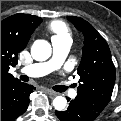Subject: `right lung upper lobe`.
<instances>
[{"label":"right lung upper lobe","instance_id":"1","mask_svg":"<svg viewBox=\"0 0 121 121\" xmlns=\"http://www.w3.org/2000/svg\"><path fill=\"white\" fill-rule=\"evenodd\" d=\"M42 19L28 14H15L1 21V86L17 81L8 71L15 66L18 53L23 50Z\"/></svg>","mask_w":121,"mask_h":121}]
</instances>
